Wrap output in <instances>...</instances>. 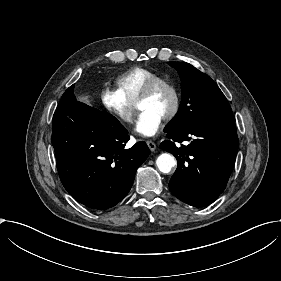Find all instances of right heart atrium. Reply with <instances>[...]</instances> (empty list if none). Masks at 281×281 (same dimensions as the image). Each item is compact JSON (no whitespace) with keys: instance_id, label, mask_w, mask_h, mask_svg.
Segmentation results:
<instances>
[{"instance_id":"d8ad5b80","label":"right heart atrium","mask_w":281,"mask_h":281,"mask_svg":"<svg viewBox=\"0 0 281 281\" xmlns=\"http://www.w3.org/2000/svg\"><path fill=\"white\" fill-rule=\"evenodd\" d=\"M100 100L105 109L120 123L130 125L136 118L135 105L128 102L117 89L105 86L100 91Z\"/></svg>"}]
</instances>
